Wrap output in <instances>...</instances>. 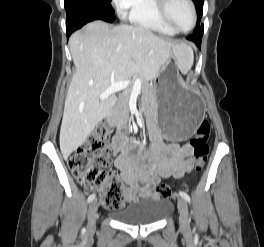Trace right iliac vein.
<instances>
[{
	"label": "right iliac vein",
	"instance_id": "1",
	"mask_svg": "<svg viewBox=\"0 0 264 247\" xmlns=\"http://www.w3.org/2000/svg\"><path fill=\"white\" fill-rule=\"evenodd\" d=\"M97 209H98L97 201H92L88 208V230L90 232L95 229Z\"/></svg>",
	"mask_w": 264,
	"mask_h": 247
}]
</instances>
